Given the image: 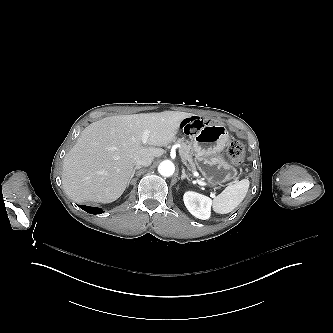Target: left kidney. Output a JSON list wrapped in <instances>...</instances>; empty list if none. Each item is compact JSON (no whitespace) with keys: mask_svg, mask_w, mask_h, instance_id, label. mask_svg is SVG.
<instances>
[{"mask_svg":"<svg viewBox=\"0 0 333 333\" xmlns=\"http://www.w3.org/2000/svg\"><path fill=\"white\" fill-rule=\"evenodd\" d=\"M183 201L188 211L198 219L207 220L211 215L212 200L202 194L187 191L183 195Z\"/></svg>","mask_w":333,"mask_h":333,"instance_id":"1","label":"left kidney"}]
</instances>
